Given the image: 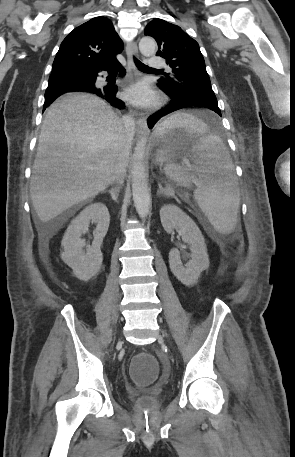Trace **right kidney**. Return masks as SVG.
I'll list each match as a JSON object with an SVG mask.
<instances>
[{"label":"right kidney","mask_w":295,"mask_h":457,"mask_svg":"<svg viewBox=\"0 0 295 457\" xmlns=\"http://www.w3.org/2000/svg\"><path fill=\"white\" fill-rule=\"evenodd\" d=\"M90 222L95 223L96 228L93 232L92 245L86 247L85 253L83 247L86 243L81 236L88 231ZM109 223L110 215L107 207L103 203H94L81 211L68 226L61 242L64 249L61 258L72 268L78 279L88 281L100 270L103 261L100 247Z\"/></svg>","instance_id":"ca27d5eb"}]
</instances>
